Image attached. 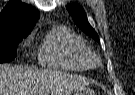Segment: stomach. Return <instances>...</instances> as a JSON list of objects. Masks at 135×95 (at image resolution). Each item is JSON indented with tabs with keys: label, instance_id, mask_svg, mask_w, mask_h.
<instances>
[{
	"label": "stomach",
	"instance_id": "0dacf381",
	"mask_svg": "<svg viewBox=\"0 0 135 95\" xmlns=\"http://www.w3.org/2000/svg\"><path fill=\"white\" fill-rule=\"evenodd\" d=\"M74 95H96V94L92 89L88 87H83L81 90L76 91Z\"/></svg>",
	"mask_w": 135,
	"mask_h": 95
}]
</instances>
